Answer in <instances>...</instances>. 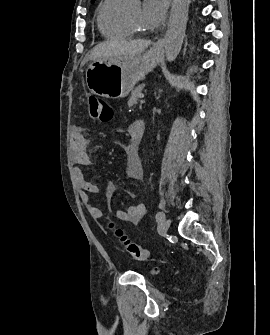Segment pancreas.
<instances>
[{"instance_id": "obj_1", "label": "pancreas", "mask_w": 270, "mask_h": 335, "mask_svg": "<svg viewBox=\"0 0 270 335\" xmlns=\"http://www.w3.org/2000/svg\"><path fill=\"white\" fill-rule=\"evenodd\" d=\"M143 88H145V84H140V86H138V88H133L132 92H131V96L128 100V106L129 108H131V106H134V104H137V102H139V98H141L142 94V90Z\"/></svg>"}]
</instances>
